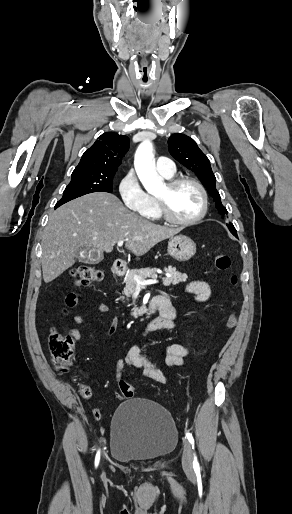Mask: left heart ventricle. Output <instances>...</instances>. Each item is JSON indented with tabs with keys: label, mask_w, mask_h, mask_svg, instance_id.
Segmentation results:
<instances>
[{
	"label": "left heart ventricle",
	"mask_w": 292,
	"mask_h": 514,
	"mask_svg": "<svg viewBox=\"0 0 292 514\" xmlns=\"http://www.w3.org/2000/svg\"><path fill=\"white\" fill-rule=\"evenodd\" d=\"M154 196L164 199L171 215L180 220L193 218L200 209L199 192L189 184L173 190H168L164 185Z\"/></svg>",
	"instance_id": "obj_1"
}]
</instances>
